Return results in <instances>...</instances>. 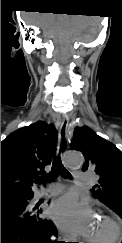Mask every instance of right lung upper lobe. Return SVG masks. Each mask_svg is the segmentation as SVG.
Returning a JSON list of instances; mask_svg holds the SVG:
<instances>
[{
  "instance_id": "right-lung-upper-lobe-1",
  "label": "right lung upper lobe",
  "mask_w": 122,
  "mask_h": 243,
  "mask_svg": "<svg viewBox=\"0 0 122 243\" xmlns=\"http://www.w3.org/2000/svg\"><path fill=\"white\" fill-rule=\"evenodd\" d=\"M56 137L52 124L39 121L16 130L1 142V201L33 193V179L51 164Z\"/></svg>"
}]
</instances>
